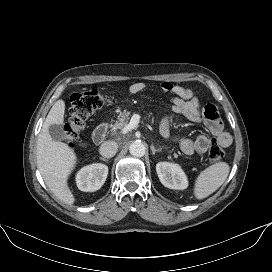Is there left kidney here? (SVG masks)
Segmentation results:
<instances>
[{"label":"left kidney","instance_id":"obj_1","mask_svg":"<svg viewBox=\"0 0 272 272\" xmlns=\"http://www.w3.org/2000/svg\"><path fill=\"white\" fill-rule=\"evenodd\" d=\"M156 171L160 182L169 189L184 190L188 187V179L179 164L159 162Z\"/></svg>","mask_w":272,"mask_h":272}]
</instances>
